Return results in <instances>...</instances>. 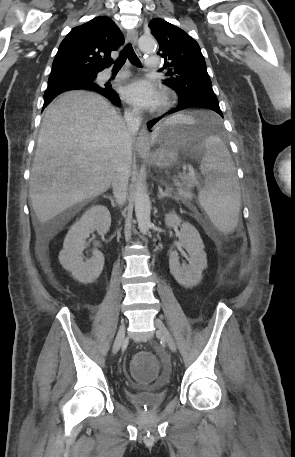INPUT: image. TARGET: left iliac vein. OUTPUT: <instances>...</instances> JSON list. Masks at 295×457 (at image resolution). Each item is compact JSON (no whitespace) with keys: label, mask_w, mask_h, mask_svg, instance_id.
I'll list each match as a JSON object with an SVG mask.
<instances>
[{"label":"left iliac vein","mask_w":295,"mask_h":457,"mask_svg":"<svg viewBox=\"0 0 295 457\" xmlns=\"http://www.w3.org/2000/svg\"><path fill=\"white\" fill-rule=\"evenodd\" d=\"M154 324L157 329V332L161 335V337L167 343L168 347L172 351L175 352L177 350L175 341H174L173 337L171 336L170 332L168 331L167 327L165 326V324L158 318H155Z\"/></svg>","instance_id":"4c4485c4"}]
</instances>
